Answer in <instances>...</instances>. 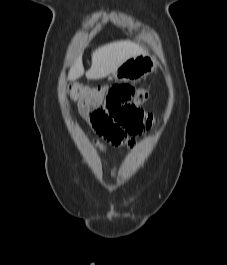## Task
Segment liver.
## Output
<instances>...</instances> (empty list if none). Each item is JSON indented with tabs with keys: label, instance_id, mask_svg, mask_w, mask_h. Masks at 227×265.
Wrapping results in <instances>:
<instances>
[{
	"label": "liver",
	"instance_id": "6515ba94",
	"mask_svg": "<svg viewBox=\"0 0 227 265\" xmlns=\"http://www.w3.org/2000/svg\"><path fill=\"white\" fill-rule=\"evenodd\" d=\"M144 50L135 42L129 40L115 41L103 45L92 53V64L86 72L87 79H101L115 71L130 57L143 53ZM84 74L82 59L79 57L70 69L68 79L75 81Z\"/></svg>",
	"mask_w": 227,
	"mask_h": 265
}]
</instances>
